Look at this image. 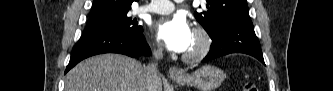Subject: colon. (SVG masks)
I'll return each mask as SVG.
<instances>
[{
  "label": "colon",
  "mask_w": 333,
  "mask_h": 91,
  "mask_svg": "<svg viewBox=\"0 0 333 91\" xmlns=\"http://www.w3.org/2000/svg\"><path fill=\"white\" fill-rule=\"evenodd\" d=\"M244 91H258L257 86L253 82H247L243 88Z\"/></svg>",
  "instance_id": "colon-1"
}]
</instances>
